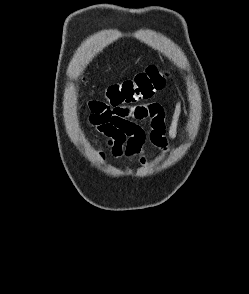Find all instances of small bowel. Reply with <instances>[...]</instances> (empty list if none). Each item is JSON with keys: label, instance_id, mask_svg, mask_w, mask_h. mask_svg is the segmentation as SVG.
I'll use <instances>...</instances> for the list:
<instances>
[{"label": "small bowel", "instance_id": "small-bowel-1", "mask_svg": "<svg viewBox=\"0 0 249 294\" xmlns=\"http://www.w3.org/2000/svg\"><path fill=\"white\" fill-rule=\"evenodd\" d=\"M90 122L96 131L106 138V144L117 160L138 158L146 162L145 145L150 144L161 152L182 136L179 130L183 100L175 104L169 124L166 123L165 111L160 103L147 102L138 104H121L109 106L100 102L89 105ZM148 122L150 131L147 134L143 126ZM96 153L102 158L96 140L93 141Z\"/></svg>", "mask_w": 249, "mask_h": 294}]
</instances>
